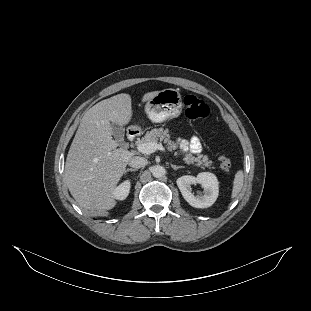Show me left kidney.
Masks as SVG:
<instances>
[{
    "label": "left kidney",
    "instance_id": "5707ae66",
    "mask_svg": "<svg viewBox=\"0 0 311 311\" xmlns=\"http://www.w3.org/2000/svg\"><path fill=\"white\" fill-rule=\"evenodd\" d=\"M177 186L183 198L195 208H207L214 204L219 194V182L217 177L210 172H201L196 177L184 175L177 179ZM201 184L203 194L194 195L191 185Z\"/></svg>",
    "mask_w": 311,
    "mask_h": 311
}]
</instances>
